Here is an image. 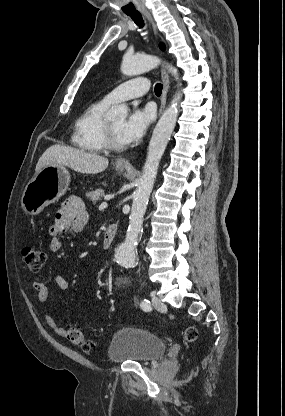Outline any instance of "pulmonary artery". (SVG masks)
I'll return each instance as SVG.
<instances>
[{"instance_id":"pulmonary-artery-1","label":"pulmonary artery","mask_w":285,"mask_h":416,"mask_svg":"<svg viewBox=\"0 0 285 416\" xmlns=\"http://www.w3.org/2000/svg\"><path fill=\"white\" fill-rule=\"evenodd\" d=\"M148 89V80L145 77L130 79L110 91L104 96V101L111 103L119 99L132 101L133 97L145 96Z\"/></svg>"}]
</instances>
